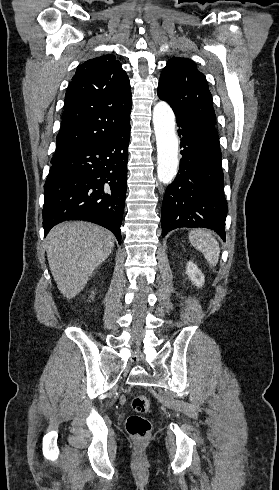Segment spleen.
Instances as JSON below:
<instances>
[{
    "label": "spleen",
    "instance_id": "1",
    "mask_svg": "<svg viewBox=\"0 0 279 490\" xmlns=\"http://www.w3.org/2000/svg\"><path fill=\"white\" fill-rule=\"evenodd\" d=\"M190 242L196 250L203 254L210 266H216L219 260L220 248L217 240L206 230H193L190 232Z\"/></svg>",
    "mask_w": 279,
    "mask_h": 490
}]
</instances>
